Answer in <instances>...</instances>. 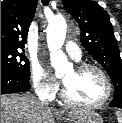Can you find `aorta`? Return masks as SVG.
<instances>
[{
	"label": "aorta",
	"instance_id": "1",
	"mask_svg": "<svg viewBox=\"0 0 122 123\" xmlns=\"http://www.w3.org/2000/svg\"><path fill=\"white\" fill-rule=\"evenodd\" d=\"M66 20L63 16H55L47 27V43L50 50L51 66L56 74L69 67L66 55L61 50L66 37Z\"/></svg>",
	"mask_w": 122,
	"mask_h": 123
}]
</instances>
